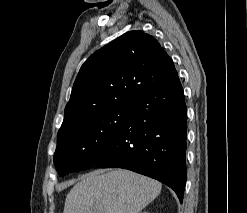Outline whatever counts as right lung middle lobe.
Listing matches in <instances>:
<instances>
[{
  "label": "right lung middle lobe",
  "instance_id": "obj_1",
  "mask_svg": "<svg viewBox=\"0 0 247 213\" xmlns=\"http://www.w3.org/2000/svg\"><path fill=\"white\" fill-rule=\"evenodd\" d=\"M131 111L130 100H124L59 135L54 154L59 176L94 166Z\"/></svg>",
  "mask_w": 247,
  "mask_h": 213
}]
</instances>
